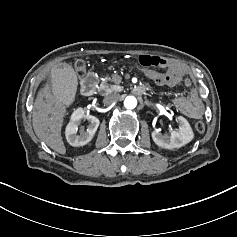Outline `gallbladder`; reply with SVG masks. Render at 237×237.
Returning <instances> with one entry per match:
<instances>
[{"label": "gallbladder", "mask_w": 237, "mask_h": 237, "mask_svg": "<svg viewBox=\"0 0 237 237\" xmlns=\"http://www.w3.org/2000/svg\"><path fill=\"white\" fill-rule=\"evenodd\" d=\"M51 78L53 93L61 105H69L75 99L77 77L71 65H55Z\"/></svg>", "instance_id": "obj_1"}]
</instances>
